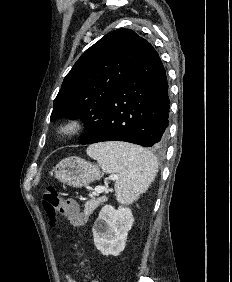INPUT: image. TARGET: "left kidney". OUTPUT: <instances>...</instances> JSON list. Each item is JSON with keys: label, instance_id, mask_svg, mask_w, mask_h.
<instances>
[{"label": "left kidney", "instance_id": "left-kidney-1", "mask_svg": "<svg viewBox=\"0 0 232 282\" xmlns=\"http://www.w3.org/2000/svg\"><path fill=\"white\" fill-rule=\"evenodd\" d=\"M134 218L129 208L105 205L92 232L96 248L105 256L119 255L125 248L128 231L132 228Z\"/></svg>", "mask_w": 232, "mask_h": 282}]
</instances>
